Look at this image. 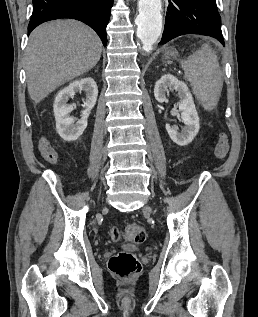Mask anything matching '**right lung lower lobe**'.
Returning a JSON list of instances; mask_svg holds the SVG:
<instances>
[{
	"mask_svg": "<svg viewBox=\"0 0 258 317\" xmlns=\"http://www.w3.org/2000/svg\"><path fill=\"white\" fill-rule=\"evenodd\" d=\"M33 13L28 25V35L46 21L72 18L93 28L107 45L106 26L113 0H32Z\"/></svg>",
	"mask_w": 258,
	"mask_h": 317,
	"instance_id": "1",
	"label": "right lung lower lobe"
}]
</instances>
